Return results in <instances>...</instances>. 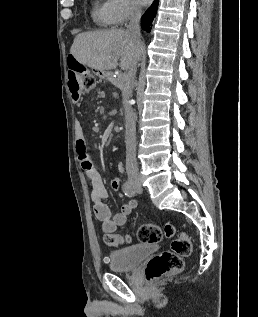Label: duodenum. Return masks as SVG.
Wrapping results in <instances>:
<instances>
[{
  "instance_id": "1",
  "label": "duodenum",
  "mask_w": 258,
  "mask_h": 317,
  "mask_svg": "<svg viewBox=\"0 0 258 317\" xmlns=\"http://www.w3.org/2000/svg\"><path fill=\"white\" fill-rule=\"evenodd\" d=\"M66 84L73 101L78 102L84 93V86L80 73L73 68L68 69L66 76Z\"/></svg>"
}]
</instances>
